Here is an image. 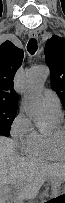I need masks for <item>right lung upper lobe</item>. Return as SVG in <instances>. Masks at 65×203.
Masks as SVG:
<instances>
[{
  "label": "right lung upper lobe",
  "instance_id": "1",
  "mask_svg": "<svg viewBox=\"0 0 65 203\" xmlns=\"http://www.w3.org/2000/svg\"><path fill=\"white\" fill-rule=\"evenodd\" d=\"M23 51L12 42L0 46V104L17 106L18 95L13 89V76L21 65Z\"/></svg>",
  "mask_w": 65,
  "mask_h": 203
}]
</instances>
